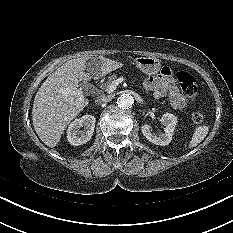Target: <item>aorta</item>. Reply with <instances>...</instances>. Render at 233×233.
<instances>
[{"instance_id": "obj_1", "label": "aorta", "mask_w": 233, "mask_h": 233, "mask_svg": "<svg viewBox=\"0 0 233 233\" xmlns=\"http://www.w3.org/2000/svg\"><path fill=\"white\" fill-rule=\"evenodd\" d=\"M118 107L121 109L131 108L134 104V98L130 94H122L117 100Z\"/></svg>"}]
</instances>
